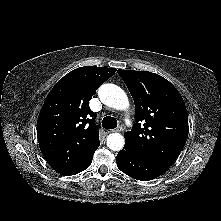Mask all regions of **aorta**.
<instances>
[{"mask_svg": "<svg viewBox=\"0 0 221 221\" xmlns=\"http://www.w3.org/2000/svg\"><path fill=\"white\" fill-rule=\"evenodd\" d=\"M98 95L102 103L108 107L125 110L129 107L126 93L115 84H103ZM125 144V138L120 133H112L107 136V147L113 151H120Z\"/></svg>", "mask_w": 221, "mask_h": 221, "instance_id": "762f6f07", "label": "aorta"}]
</instances>
